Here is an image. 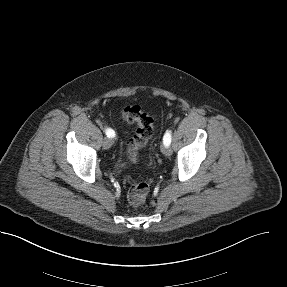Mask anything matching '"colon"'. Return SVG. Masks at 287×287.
<instances>
[{
  "label": "colon",
  "instance_id": "5ec220e1",
  "mask_svg": "<svg viewBox=\"0 0 287 287\" xmlns=\"http://www.w3.org/2000/svg\"><path fill=\"white\" fill-rule=\"evenodd\" d=\"M122 117L125 121L137 126L135 135L127 144L128 158L136 160L138 152L143 148L153 135V119L138 106H128L123 109ZM149 192L146 182H138L131 186L128 192V201L133 206L142 204Z\"/></svg>",
  "mask_w": 287,
  "mask_h": 287
}]
</instances>
